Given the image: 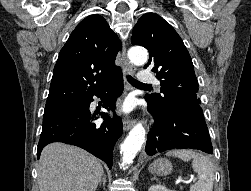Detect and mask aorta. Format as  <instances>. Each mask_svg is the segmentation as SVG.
Listing matches in <instances>:
<instances>
[{
	"instance_id": "762f6f07",
	"label": "aorta",
	"mask_w": 251,
	"mask_h": 191,
	"mask_svg": "<svg viewBox=\"0 0 251 191\" xmlns=\"http://www.w3.org/2000/svg\"><path fill=\"white\" fill-rule=\"evenodd\" d=\"M128 58L135 66H143L148 60V52L145 48L136 46V48L128 50ZM145 133L146 131L142 123H136L129 131V135H127L124 143L121 145L122 165L132 163L136 153L140 151L142 143H144Z\"/></svg>"
}]
</instances>
